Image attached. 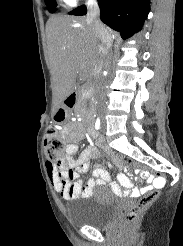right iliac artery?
<instances>
[{
  "instance_id": "right-iliac-artery-1",
  "label": "right iliac artery",
  "mask_w": 183,
  "mask_h": 246,
  "mask_svg": "<svg viewBox=\"0 0 183 246\" xmlns=\"http://www.w3.org/2000/svg\"><path fill=\"white\" fill-rule=\"evenodd\" d=\"M95 128L98 130L100 128V119L97 118L96 123H95Z\"/></svg>"
}]
</instances>
